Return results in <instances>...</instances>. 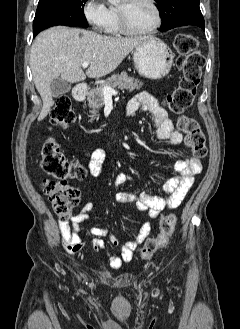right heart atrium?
Instances as JSON below:
<instances>
[{
	"label": "right heart atrium",
	"instance_id": "right-heart-atrium-1",
	"mask_svg": "<svg viewBox=\"0 0 240 329\" xmlns=\"http://www.w3.org/2000/svg\"><path fill=\"white\" fill-rule=\"evenodd\" d=\"M83 15L94 30L102 31L107 24L109 12L103 0H86Z\"/></svg>",
	"mask_w": 240,
	"mask_h": 329
}]
</instances>
